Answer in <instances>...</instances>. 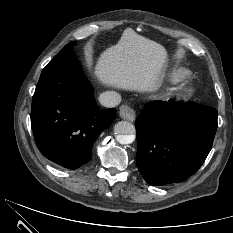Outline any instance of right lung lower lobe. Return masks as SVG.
<instances>
[{
	"instance_id": "1",
	"label": "right lung lower lobe",
	"mask_w": 233,
	"mask_h": 233,
	"mask_svg": "<svg viewBox=\"0 0 233 233\" xmlns=\"http://www.w3.org/2000/svg\"><path fill=\"white\" fill-rule=\"evenodd\" d=\"M115 114V109L98 108L73 50H63L41 73L32 100L31 127L46 158L77 169L91 159L95 140Z\"/></svg>"
}]
</instances>
